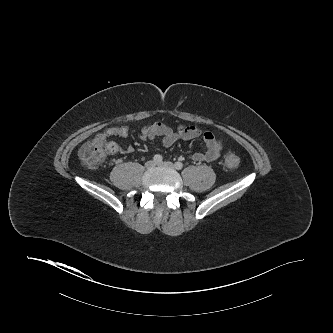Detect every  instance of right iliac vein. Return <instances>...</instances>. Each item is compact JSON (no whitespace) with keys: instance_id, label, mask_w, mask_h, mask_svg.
Wrapping results in <instances>:
<instances>
[{"instance_id":"1","label":"right iliac vein","mask_w":333,"mask_h":333,"mask_svg":"<svg viewBox=\"0 0 333 333\" xmlns=\"http://www.w3.org/2000/svg\"><path fill=\"white\" fill-rule=\"evenodd\" d=\"M156 166V163L153 161V160H149L145 163V167L147 169H151V168H154Z\"/></svg>"}]
</instances>
